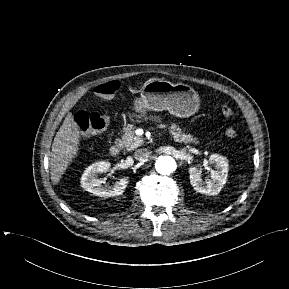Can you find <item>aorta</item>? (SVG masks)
Segmentation results:
<instances>
[{"mask_svg": "<svg viewBox=\"0 0 289 289\" xmlns=\"http://www.w3.org/2000/svg\"><path fill=\"white\" fill-rule=\"evenodd\" d=\"M155 168L158 173L162 175H169L176 170L177 164L175 159L171 156H160L156 160Z\"/></svg>", "mask_w": 289, "mask_h": 289, "instance_id": "obj_1", "label": "aorta"}]
</instances>
